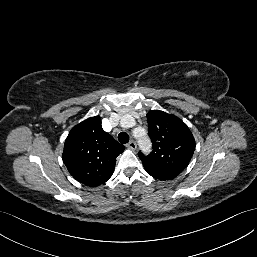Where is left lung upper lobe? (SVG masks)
<instances>
[{
	"instance_id": "left-lung-upper-lobe-1",
	"label": "left lung upper lobe",
	"mask_w": 257,
	"mask_h": 257,
	"mask_svg": "<svg viewBox=\"0 0 257 257\" xmlns=\"http://www.w3.org/2000/svg\"><path fill=\"white\" fill-rule=\"evenodd\" d=\"M149 136L153 151L139 157L145 170L156 179L170 180L189 164L195 140L188 126L178 117L160 110L147 113Z\"/></svg>"
}]
</instances>
